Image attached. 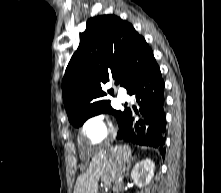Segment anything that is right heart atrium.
I'll list each match as a JSON object with an SVG mask.
<instances>
[{"label":"right heart atrium","mask_w":221,"mask_h":193,"mask_svg":"<svg viewBox=\"0 0 221 193\" xmlns=\"http://www.w3.org/2000/svg\"><path fill=\"white\" fill-rule=\"evenodd\" d=\"M113 132L114 124L106 113H98L89 117L82 128L86 141L91 145L103 143Z\"/></svg>","instance_id":"right-heart-atrium-1"}]
</instances>
